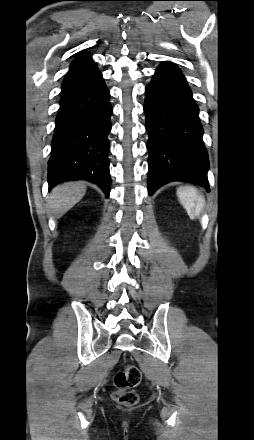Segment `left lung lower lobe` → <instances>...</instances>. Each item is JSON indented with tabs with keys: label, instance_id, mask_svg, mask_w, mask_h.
I'll use <instances>...</instances> for the list:
<instances>
[{
	"label": "left lung lower lobe",
	"instance_id": "obj_1",
	"mask_svg": "<svg viewBox=\"0 0 254 440\" xmlns=\"http://www.w3.org/2000/svg\"><path fill=\"white\" fill-rule=\"evenodd\" d=\"M144 111L149 195L172 181L193 182L209 190L199 109L184 75L172 62L161 63L146 87Z\"/></svg>",
	"mask_w": 254,
	"mask_h": 440
}]
</instances>
